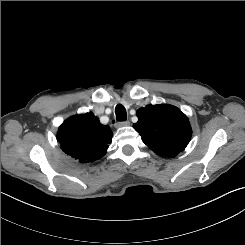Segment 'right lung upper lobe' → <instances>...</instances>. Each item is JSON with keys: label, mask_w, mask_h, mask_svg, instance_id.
Returning <instances> with one entry per match:
<instances>
[{"label": "right lung upper lobe", "mask_w": 245, "mask_h": 245, "mask_svg": "<svg viewBox=\"0 0 245 245\" xmlns=\"http://www.w3.org/2000/svg\"><path fill=\"white\" fill-rule=\"evenodd\" d=\"M113 133L110 127L102 125L92 112L68 118L59 127L57 140L61 149L78 160L89 163L103 157Z\"/></svg>", "instance_id": "obj_1"}]
</instances>
